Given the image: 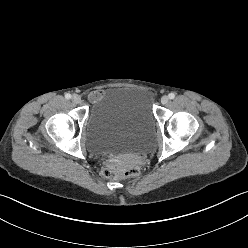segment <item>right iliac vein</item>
Instances as JSON below:
<instances>
[{
    "mask_svg": "<svg viewBox=\"0 0 248 248\" xmlns=\"http://www.w3.org/2000/svg\"><path fill=\"white\" fill-rule=\"evenodd\" d=\"M71 100L73 103L75 104H79L81 102V97L77 94H74L72 97H71Z\"/></svg>",
    "mask_w": 248,
    "mask_h": 248,
    "instance_id": "right-iliac-vein-1",
    "label": "right iliac vein"
}]
</instances>
